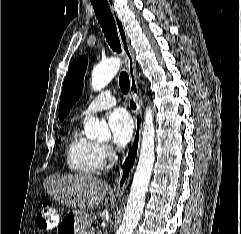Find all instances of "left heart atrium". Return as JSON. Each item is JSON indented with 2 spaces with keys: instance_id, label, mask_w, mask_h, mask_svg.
Masks as SVG:
<instances>
[{
  "instance_id": "left-heart-atrium-1",
  "label": "left heart atrium",
  "mask_w": 241,
  "mask_h": 234,
  "mask_svg": "<svg viewBox=\"0 0 241 234\" xmlns=\"http://www.w3.org/2000/svg\"><path fill=\"white\" fill-rule=\"evenodd\" d=\"M112 140L117 147L125 146L133 135V121L124 109H116L108 117Z\"/></svg>"
}]
</instances>
